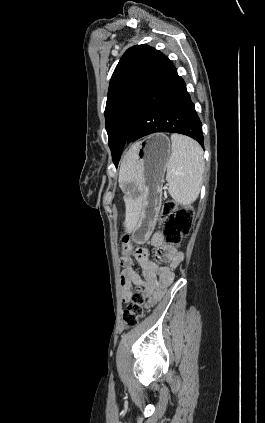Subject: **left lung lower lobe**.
Segmentation results:
<instances>
[{
	"instance_id": "obj_1",
	"label": "left lung lower lobe",
	"mask_w": 265,
	"mask_h": 423,
	"mask_svg": "<svg viewBox=\"0 0 265 423\" xmlns=\"http://www.w3.org/2000/svg\"><path fill=\"white\" fill-rule=\"evenodd\" d=\"M156 132L184 134L204 146L202 124L185 82L161 52L136 99L125 144Z\"/></svg>"
}]
</instances>
